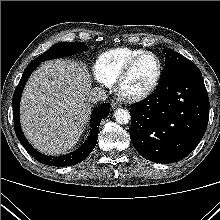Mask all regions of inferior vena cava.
Here are the masks:
<instances>
[{"mask_svg":"<svg viewBox=\"0 0 220 220\" xmlns=\"http://www.w3.org/2000/svg\"><path fill=\"white\" fill-rule=\"evenodd\" d=\"M107 98L106 91L99 87H94L90 91L89 101L93 103H97L100 101H105Z\"/></svg>","mask_w":220,"mask_h":220,"instance_id":"1","label":"inferior vena cava"}]
</instances>
